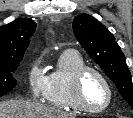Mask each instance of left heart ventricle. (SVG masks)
<instances>
[{
	"mask_svg": "<svg viewBox=\"0 0 133 118\" xmlns=\"http://www.w3.org/2000/svg\"><path fill=\"white\" fill-rule=\"evenodd\" d=\"M83 94L86 103L93 108L103 106L108 99L107 88L103 80L95 73H88L84 79Z\"/></svg>",
	"mask_w": 133,
	"mask_h": 118,
	"instance_id": "obj_1",
	"label": "left heart ventricle"
}]
</instances>
